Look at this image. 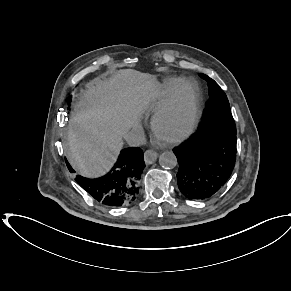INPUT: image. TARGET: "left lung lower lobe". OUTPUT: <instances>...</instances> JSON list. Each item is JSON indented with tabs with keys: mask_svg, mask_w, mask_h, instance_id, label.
<instances>
[{
	"mask_svg": "<svg viewBox=\"0 0 291 291\" xmlns=\"http://www.w3.org/2000/svg\"><path fill=\"white\" fill-rule=\"evenodd\" d=\"M173 152L179 164L180 192L189 200H205L217 194L232 174L237 153L236 134L198 128Z\"/></svg>",
	"mask_w": 291,
	"mask_h": 291,
	"instance_id": "0a47b994",
	"label": "left lung lower lobe"
}]
</instances>
